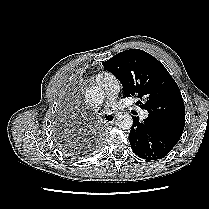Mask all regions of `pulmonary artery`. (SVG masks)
Instances as JSON below:
<instances>
[{
  "mask_svg": "<svg viewBox=\"0 0 209 209\" xmlns=\"http://www.w3.org/2000/svg\"><path fill=\"white\" fill-rule=\"evenodd\" d=\"M96 81L105 90L109 100H112L117 96L120 87L117 78L113 74L108 72L101 73L96 77ZM141 117L147 118L148 112L142 110Z\"/></svg>",
  "mask_w": 209,
  "mask_h": 209,
  "instance_id": "e3ab8cb5",
  "label": "pulmonary artery"
}]
</instances>
